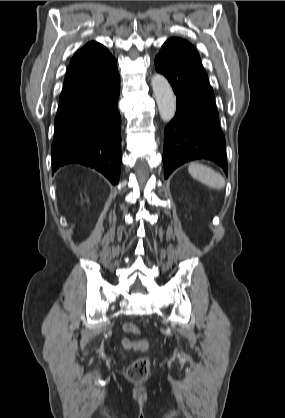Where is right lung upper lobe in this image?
<instances>
[{
    "label": "right lung upper lobe",
    "mask_w": 285,
    "mask_h": 418,
    "mask_svg": "<svg viewBox=\"0 0 285 418\" xmlns=\"http://www.w3.org/2000/svg\"><path fill=\"white\" fill-rule=\"evenodd\" d=\"M116 70V60L107 48L88 42L70 61L59 102L97 85Z\"/></svg>",
    "instance_id": "1"
}]
</instances>
